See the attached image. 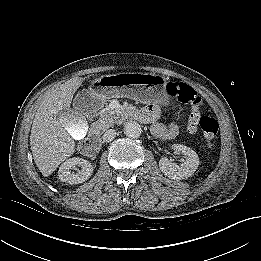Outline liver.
Returning <instances> with one entry per match:
<instances>
[{"label":"liver","mask_w":261,"mask_h":261,"mask_svg":"<svg viewBox=\"0 0 261 261\" xmlns=\"http://www.w3.org/2000/svg\"><path fill=\"white\" fill-rule=\"evenodd\" d=\"M84 80L75 77L52 89L37 107L30 146L34 162L46 177L75 151V142L68 132L67 122L79 120L78 113L71 111L70 105L74 93ZM67 112L72 114L68 115Z\"/></svg>","instance_id":"obj_1"}]
</instances>
